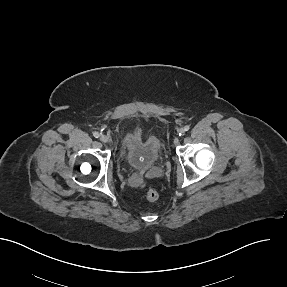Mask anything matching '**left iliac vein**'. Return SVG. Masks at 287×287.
Masks as SVG:
<instances>
[{
    "mask_svg": "<svg viewBox=\"0 0 287 287\" xmlns=\"http://www.w3.org/2000/svg\"><path fill=\"white\" fill-rule=\"evenodd\" d=\"M179 132H180V133H184V132H185V131H184V128L179 129ZM175 144H178V139L175 140Z\"/></svg>",
    "mask_w": 287,
    "mask_h": 287,
    "instance_id": "obj_1",
    "label": "left iliac vein"
}]
</instances>
